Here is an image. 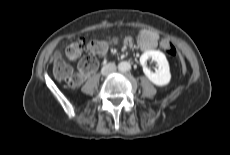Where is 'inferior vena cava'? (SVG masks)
I'll list each match as a JSON object with an SVG mask.
<instances>
[{"label": "inferior vena cava", "instance_id": "1", "mask_svg": "<svg viewBox=\"0 0 230 155\" xmlns=\"http://www.w3.org/2000/svg\"><path fill=\"white\" fill-rule=\"evenodd\" d=\"M116 70V65L115 63H108L107 65H105L102 70L101 73L102 75H109L111 73H113Z\"/></svg>", "mask_w": 230, "mask_h": 155}]
</instances>
